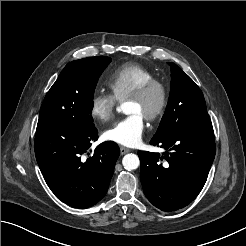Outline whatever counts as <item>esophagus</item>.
<instances>
[{"label": "esophagus", "instance_id": "1", "mask_svg": "<svg viewBox=\"0 0 246 246\" xmlns=\"http://www.w3.org/2000/svg\"><path fill=\"white\" fill-rule=\"evenodd\" d=\"M131 150L126 147H120V153L121 155H124L126 153H129Z\"/></svg>", "mask_w": 246, "mask_h": 246}]
</instances>
